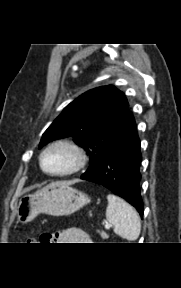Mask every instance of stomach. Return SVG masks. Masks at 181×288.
I'll use <instances>...</instances> for the list:
<instances>
[{"label": "stomach", "instance_id": "stomach-1", "mask_svg": "<svg viewBox=\"0 0 181 288\" xmlns=\"http://www.w3.org/2000/svg\"><path fill=\"white\" fill-rule=\"evenodd\" d=\"M90 199L68 182H54L33 194L23 196L17 207V222L28 223L40 213L67 216L76 212Z\"/></svg>", "mask_w": 181, "mask_h": 288}]
</instances>
